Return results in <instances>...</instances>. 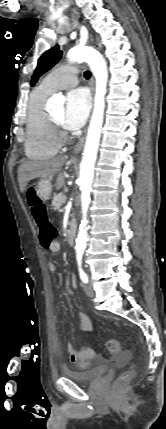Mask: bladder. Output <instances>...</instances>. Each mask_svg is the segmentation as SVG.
<instances>
[{"mask_svg": "<svg viewBox=\"0 0 166 429\" xmlns=\"http://www.w3.org/2000/svg\"><path fill=\"white\" fill-rule=\"evenodd\" d=\"M107 371H108L107 366L93 367L83 371L70 369V368H64L62 370L63 374L66 377L79 383L94 382L100 379L101 377H103L107 373Z\"/></svg>", "mask_w": 166, "mask_h": 429, "instance_id": "bladder-1", "label": "bladder"}]
</instances>
